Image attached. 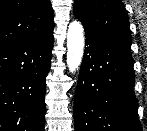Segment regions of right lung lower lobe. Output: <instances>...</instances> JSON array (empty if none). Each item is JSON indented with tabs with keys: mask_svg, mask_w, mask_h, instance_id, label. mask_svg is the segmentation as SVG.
I'll return each mask as SVG.
<instances>
[{
	"mask_svg": "<svg viewBox=\"0 0 147 131\" xmlns=\"http://www.w3.org/2000/svg\"><path fill=\"white\" fill-rule=\"evenodd\" d=\"M53 31L0 51V131H44Z\"/></svg>",
	"mask_w": 147,
	"mask_h": 131,
	"instance_id": "1",
	"label": "right lung lower lobe"
}]
</instances>
